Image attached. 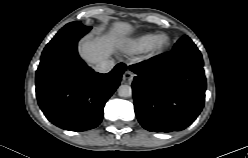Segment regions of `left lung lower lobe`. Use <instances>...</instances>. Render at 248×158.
I'll list each match as a JSON object with an SVG mask.
<instances>
[{
  "label": "left lung lower lobe",
  "instance_id": "1",
  "mask_svg": "<svg viewBox=\"0 0 248 158\" xmlns=\"http://www.w3.org/2000/svg\"><path fill=\"white\" fill-rule=\"evenodd\" d=\"M130 70L137 74L132 83L135 113L146 130L180 131L200 114L206 79L202 55L188 36L180 38L170 52Z\"/></svg>",
  "mask_w": 248,
  "mask_h": 158
}]
</instances>
